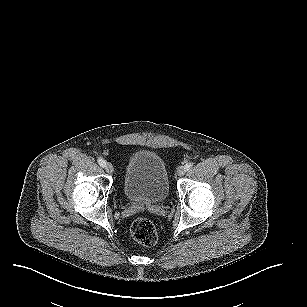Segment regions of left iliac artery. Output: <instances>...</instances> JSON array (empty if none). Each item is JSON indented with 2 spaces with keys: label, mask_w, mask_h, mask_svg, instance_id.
Returning a JSON list of instances; mask_svg holds the SVG:
<instances>
[{
  "label": "left iliac artery",
  "mask_w": 307,
  "mask_h": 307,
  "mask_svg": "<svg viewBox=\"0 0 307 307\" xmlns=\"http://www.w3.org/2000/svg\"><path fill=\"white\" fill-rule=\"evenodd\" d=\"M192 166H193V164L190 162V163H187L186 165H185V169L186 170H190L191 168H192Z\"/></svg>",
  "instance_id": "obj_1"
}]
</instances>
